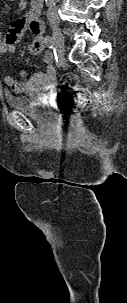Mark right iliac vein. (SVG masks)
I'll return each instance as SVG.
<instances>
[{
    "instance_id": "obj_1",
    "label": "right iliac vein",
    "mask_w": 127,
    "mask_h": 303,
    "mask_svg": "<svg viewBox=\"0 0 127 303\" xmlns=\"http://www.w3.org/2000/svg\"><path fill=\"white\" fill-rule=\"evenodd\" d=\"M50 26L53 33V39L55 42L56 49L59 53V55H62L65 51V45H64V37L59 25V21L57 20H50Z\"/></svg>"
}]
</instances>
